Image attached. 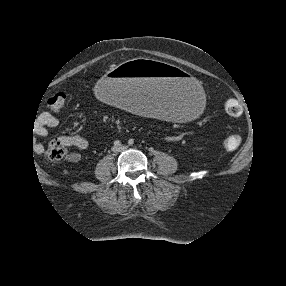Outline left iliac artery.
<instances>
[{
	"label": "left iliac artery",
	"mask_w": 286,
	"mask_h": 286,
	"mask_svg": "<svg viewBox=\"0 0 286 286\" xmlns=\"http://www.w3.org/2000/svg\"><path fill=\"white\" fill-rule=\"evenodd\" d=\"M128 143H129V145H132V144H134V140H133V139H130V140L128 141Z\"/></svg>",
	"instance_id": "1"
}]
</instances>
